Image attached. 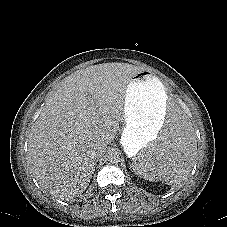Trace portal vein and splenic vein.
I'll return each instance as SVG.
<instances>
[{"mask_svg": "<svg viewBox=\"0 0 227 227\" xmlns=\"http://www.w3.org/2000/svg\"><path fill=\"white\" fill-rule=\"evenodd\" d=\"M92 105H93V101H92ZM98 119H99L98 115L95 114L94 117H93V121H94V122H97Z\"/></svg>", "mask_w": 227, "mask_h": 227, "instance_id": "obj_1", "label": "portal vein and splenic vein"}]
</instances>
